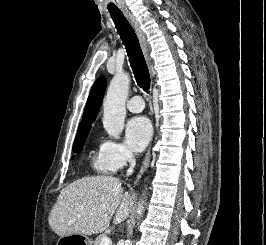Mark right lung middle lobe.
Instances as JSON below:
<instances>
[{"instance_id":"1","label":"right lung middle lobe","mask_w":266,"mask_h":245,"mask_svg":"<svg viewBox=\"0 0 266 245\" xmlns=\"http://www.w3.org/2000/svg\"><path fill=\"white\" fill-rule=\"evenodd\" d=\"M91 123L89 124H85V125H81L78 128V133L76 135L74 144H73V151L74 152H80L81 149L83 148L86 138L88 136V133L90 131L91 128Z\"/></svg>"}]
</instances>
